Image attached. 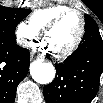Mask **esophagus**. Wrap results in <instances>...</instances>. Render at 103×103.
I'll list each match as a JSON object with an SVG mask.
<instances>
[{
    "instance_id": "34e87169",
    "label": "esophagus",
    "mask_w": 103,
    "mask_h": 103,
    "mask_svg": "<svg viewBox=\"0 0 103 103\" xmlns=\"http://www.w3.org/2000/svg\"><path fill=\"white\" fill-rule=\"evenodd\" d=\"M38 57L34 54V53H31V60H37Z\"/></svg>"
}]
</instances>
